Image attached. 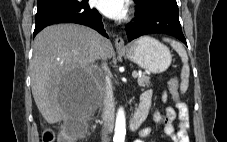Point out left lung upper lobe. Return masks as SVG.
I'll list each match as a JSON object with an SVG mask.
<instances>
[{"label": "left lung upper lobe", "mask_w": 227, "mask_h": 142, "mask_svg": "<svg viewBox=\"0 0 227 142\" xmlns=\"http://www.w3.org/2000/svg\"><path fill=\"white\" fill-rule=\"evenodd\" d=\"M138 5L137 10H145L150 6L161 5L170 9L178 10L176 0H134Z\"/></svg>", "instance_id": "1"}]
</instances>
